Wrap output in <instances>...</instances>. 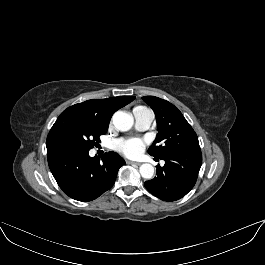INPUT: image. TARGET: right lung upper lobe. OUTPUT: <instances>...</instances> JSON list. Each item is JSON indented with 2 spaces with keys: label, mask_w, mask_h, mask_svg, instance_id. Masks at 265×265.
<instances>
[{
  "label": "right lung upper lobe",
  "mask_w": 265,
  "mask_h": 265,
  "mask_svg": "<svg viewBox=\"0 0 265 265\" xmlns=\"http://www.w3.org/2000/svg\"><path fill=\"white\" fill-rule=\"evenodd\" d=\"M134 99L135 96H118L106 99L87 100L68 107L60 116L66 114L83 115L109 125L114 112L129 104Z\"/></svg>",
  "instance_id": "obj_1"
}]
</instances>
